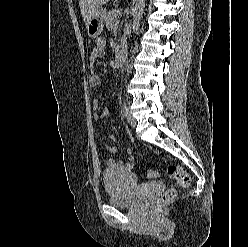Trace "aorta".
Listing matches in <instances>:
<instances>
[{
	"label": "aorta",
	"instance_id": "762f6f07",
	"mask_svg": "<svg viewBox=\"0 0 248 247\" xmlns=\"http://www.w3.org/2000/svg\"><path fill=\"white\" fill-rule=\"evenodd\" d=\"M145 0H135V6L133 9V22L132 29L136 31L140 25V20L144 11Z\"/></svg>",
	"mask_w": 248,
	"mask_h": 247
}]
</instances>
